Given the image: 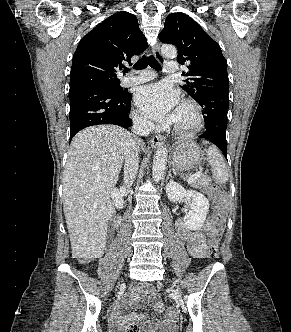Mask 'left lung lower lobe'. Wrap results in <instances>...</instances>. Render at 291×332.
Returning <instances> with one entry per match:
<instances>
[{"label":"left lung lower lobe","instance_id":"obj_1","mask_svg":"<svg viewBox=\"0 0 291 332\" xmlns=\"http://www.w3.org/2000/svg\"><path fill=\"white\" fill-rule=\"evenodd\" d=\"M204 108L206 131L200 138L207 139L221 149L227 158L226 127L229 107L228 95L209 94L197 101Z\"/></svg>","mask_w":291,"mask_h":332}]
</instances>
